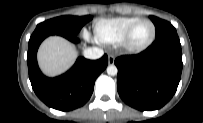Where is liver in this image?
<instances>
[{"mask_svg": "<svg viewBox=\"0 0 203 123\" xmlns=\"http://www.w3.org/2000/svg\"><path fill=\"white\" fill-rule=\"evenodd\" d=\"M78 53L74 45L60 36L47 38L39 47L37 59L42 72L50 77L66 72Z\"/></svg>", "mask_w": 203, "mask_h": 123, "instance_id": "obj_1", "label": "liver"}]
</instances>
